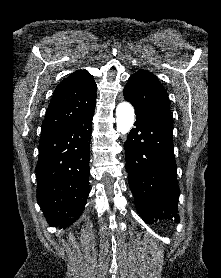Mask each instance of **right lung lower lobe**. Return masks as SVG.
<instances>
[{
    "instance_id": "obj_1",
    "label": "right lung lower lobe",
    "mask_w": 221,
    "mask_h": 278,
    "mask_svg": "<svg viewBox=\"0 0 221 278\" xmlns=\"http://www.w3.org/2000/svg\"><path fill=\"white\" fill-rule=\"evenodd\" d=\"M93 114L40 142L37 202L51 227L70 226L84 210Z\"/></svg>"
}]
</instances>
